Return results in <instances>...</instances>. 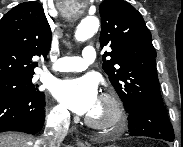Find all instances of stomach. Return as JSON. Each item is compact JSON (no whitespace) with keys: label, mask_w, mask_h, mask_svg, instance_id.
Segmentation results:
<instances>
[{"label":"stomach","mask_w":183,"mask_h":147,"mask_svg":"<svg viewBox=\"0 0 183 147\" xmlns=\"http://www.w3.org/2000/svg\"><path fill=\"white\" fill-rule=\"evenodd\" d=\"M106 147H116L115 145H109V146H106Z\"/></svg>","instance_id":"obj_1"}]
</instances>
